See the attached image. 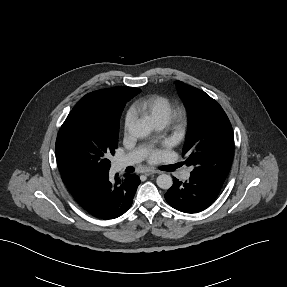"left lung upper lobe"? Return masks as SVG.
Returning <instances> with one entry per match:
<instances>
[{"mask_svg":"<svg viewBox=\"0 0 287 287\" xmlns=\"http://www.w3.org/2000/svg\"><path fill=\"white\" fill-rule=\"evenodd\" d=\"M188 111L189 126L183 155L192 174L223 185L233 159L234 134L222 107L204 91L177 82Z\"/></svg>","mask_w":287,"mask_h":287,"instance_id":"left-lung-upper-lobe-1","label":"left lung upper lobe"}]
</instances>
